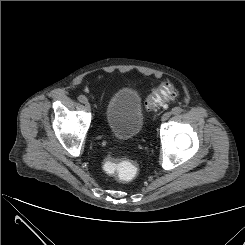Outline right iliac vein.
<instances>
[{"label": "right iliac vein", "instance_id": "right-iliac-vein-1", "mask_svg": "<svg viewBox=\"0 0 245 245\" xmlns=\"http://www.w3.org/2000/svg\"><path fill=\"white\" fill-rule=\"evenodd\" d=\"M84 104H85V106H86L87 108H89V107H90V105H89V103H88V101H87V100H85V101H84Z\"/></svg>", "mask_w": 245, "mask_h": 245}]
</instances>
